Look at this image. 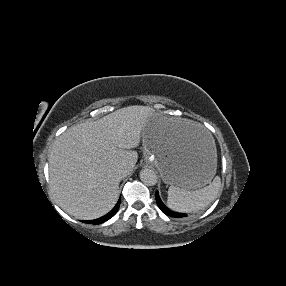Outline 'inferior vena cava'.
<instances>
[{
	"mask_svg": "<svg viewBox=\"0 0 286 286\" xmlns=\"http://www.w3.org/2000/svg\"><path fill=\"white\" fill-rule=\"evenodd\" d=\"M115 175L119 178H124L127 176V170L123 165H117L114 169H113Z\"/></svg>",
	"mask_w": 286,
	"mask_h": 286,
	"instance_id": "obj_1",
	"label": "inferior vena cava"
}]
</instances>
